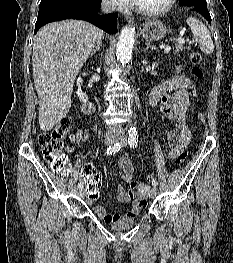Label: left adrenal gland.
Here are the masks:
<instances>
[{"label":"left adrenal gland","mask_w":233,"mask_h":263,"mask_svg":"<svg viewBox=\"0 0 233 263\" xmlns=\"http://www.w3.org/2000/svg\"><path fill=\"white\" fill-rule=\"evenodd\" d=\"M149 48L157 50V47H155L154 45H150V42L146 43V50Z\"/></svg>","instance_id":"obj_1"}]
</instances>
